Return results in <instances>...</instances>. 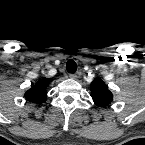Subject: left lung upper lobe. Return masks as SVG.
Instances as JSON below:
<instances>
[{"label": "left lung upper lobe", "instance_id": "obj_1", "mask_svg": "<svg viewBox=\"0 0 145 145\" xmlns=\"http://www.w3.org/2000/svg\"><path fill=\"white\" fill-rule=\"evenodd\" d=\"M91 96L94 103L99 107L108 106L113 100V94L109 91L107 85L100 78L91 83Z\"/></svg>", "mask_w": 145, "mask_h": 145}]
</instances>
